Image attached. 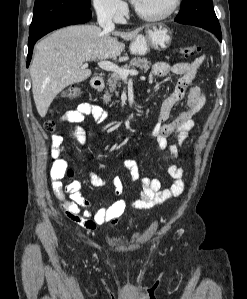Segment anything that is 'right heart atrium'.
I'll return each mask as SVG.
<instances>
[{
    "mask_svg": "<svg viewBox=\"0 0 247 299\" xmlns=\"http://www.w3.org/2000/svg\"><path fill=\"white\" fill-rule=\"evenodd\" d=\"M97 15L105 20H118L125 12L123 0H92Z\"/></svg>",
    "mask_w": 247,
    "mask_h": 299,
    "instance_id": "right-heart-atrium-1",
    "label": "right heart atrium"
}]
</instances>
